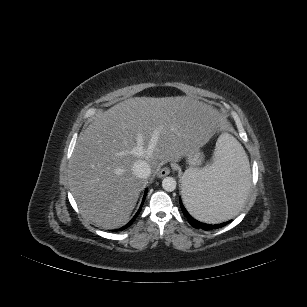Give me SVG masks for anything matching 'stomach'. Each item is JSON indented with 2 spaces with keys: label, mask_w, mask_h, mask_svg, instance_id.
Listing matches in <instances>:
<instances>
[{
  "label": "stomach",
  "mask_w": 307,
  "mask_h": 307,
  "mask_svg": "<svg viewBox=\"0 0 307 307\" xmlns=\"http://www.w3.org/2000/svg\"><path fill=\"white\" fill-rule=\"evenodd\" d=\"M187 163L190 166H198L203 162V154L200 152L199 144H191L186 151Z\"/></svg>",
  "instance_id": "obj_1"
}]
</instances>
